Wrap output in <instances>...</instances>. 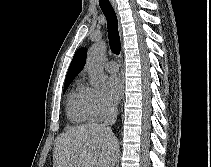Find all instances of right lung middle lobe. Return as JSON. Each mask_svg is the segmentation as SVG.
<instances>
[{"mask_svg": "<svg viewBox=\"0 0 211 167\" xmlns=\"http://www.w3.org/2000/svg\"><path fill=\"white\" fill-rule=\"evenodd\" d=\"M71 83V81L65 82L64 85V92L66 91V89L68 88L69 84Z\"/></svg>", "mask_w": 211, "mask_h": 167, "instance_id": "1", "label": "right lung middle lobe"}]
</instances>
